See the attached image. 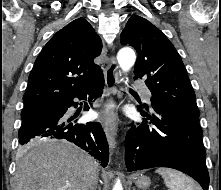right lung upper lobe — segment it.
Returning <instances> with one entry per match:
<instances>
[{"mask_svg": "<svg viewBox=\"0 0 221 190\" xmlns=\"http://www.w3.org/2000/svg\"><path fill=\"white\" fill-rule=\"evenodd\" d=\"M102 42L84 18L59 30L38 55L23 96L24 109L55 104L103 76L93 60Z\"/></svg>", "mask_w": 221, "mask_h": 190, "instance_id": "cb5924a9", "label": "right lung upper lobe"}]
</instances>
